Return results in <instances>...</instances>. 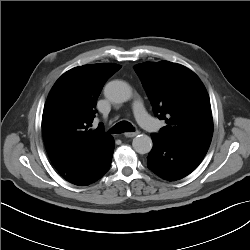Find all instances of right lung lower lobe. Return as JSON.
I'll return each mask as SVG.
<instances>
[{"instance_id":"right-lung-lower-lobe-1","label":"right lung lower lobe","mask_w":250,"mask_h":250,"mask_svg":"<svg viewBox=\"0 0 250 250\" xmlns=\"http://www.w3.org/2000/svg\"><path fill=\"white\" fill-rule=\"evenodd\" d=\"M113 152L114 140L111 138L93 154L59 173L72 184L89 185L100 179L109 170Z\"/></svg>"}]
</instances>
